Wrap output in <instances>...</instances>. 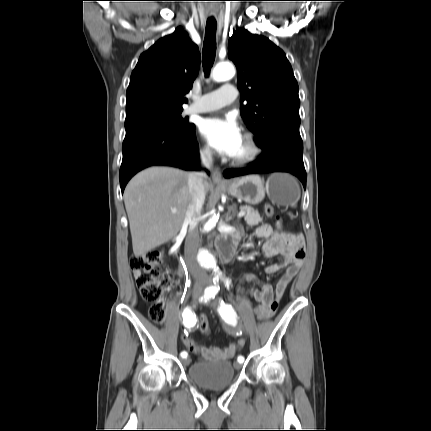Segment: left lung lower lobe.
Here are the masks:
<instances>
[{
  "mask_svg": "<svg viewBox=\"0 0 431 431\" xmlns=\"http://www.w3.org/2000/svg\"><path fill=\"white\" fill-rule=\"evenodd\" d=\"M263 154L252 162L253 166L242 169H229L224 177L231 178L254 173L289 172L297 176L306 188V171L302 153V139L279 134L261 146Z\"/></svg>",
  "mask_w": 431,
  "mask_h": 431,
  "instance_id": "obj_1",
  "label": "left lung lower lobe"
}]
</instances>
